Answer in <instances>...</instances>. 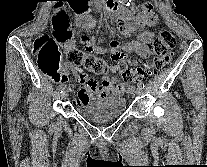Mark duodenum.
<instances>
[{
  "instance_id": "duodenum-1",
  "label": "duodenum",
  "mask_w": 207,
  "mask_h": 167,
  "mask_svg": "<svg viewBox=\"0 0 207 167\" xmlns=\"http://www.w3.org/2000/svg\"><path fill=\"white\" fill-rule=\"evenodd\" d=\"M105 7H106V9H108L110 11L119 10L118 0H106ZM120 13H121V17H130V13H127L125 11H121Z\"/></svg>"
}]
</instances>
